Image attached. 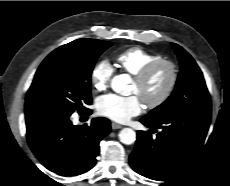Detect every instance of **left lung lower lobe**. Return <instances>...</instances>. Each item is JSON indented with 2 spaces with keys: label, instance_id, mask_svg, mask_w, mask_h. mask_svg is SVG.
Wrapping results in <instances>:
<instances>
[{
  "label": "left lung lower lobe",
  "instance_id": "0a47b994",
  "mask_svg": "<svg viewBox=\"0 0 230 186\" xmlns=\"http://www.w3.org/2000/svg\"><path fill=\"white\" fill-rule=\"evenodd\" d=\"M211 119V112H192L160 121L147 117L140 121L147 127L162 128L156 137L148 131H138L130 165L142 176L167 181L186 167L201 149Z\"/></svg>",
  "mask_w": 230,
  "mask_h": 186
}]
</instances>
